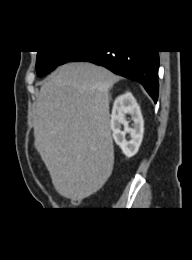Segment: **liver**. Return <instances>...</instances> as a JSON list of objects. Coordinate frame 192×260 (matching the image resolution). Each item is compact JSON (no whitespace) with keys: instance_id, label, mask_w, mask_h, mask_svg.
Masks as SVG:
<instances>
[{"instance_id":"liver-1","label":"liver","mask_w":192,"mask_h":260,"mask_svg":"<svg viewBox=\"0 0 192 260\" xmlns=\"http://www.w3.org/2000/svg\"><path fill=\"white\" fill-rule=\"evenodd\" d=\"M119 79L104 67L75 62L43 81L35 103L34 145L65 198L89 197L112 173L108 92Z\"/></svg>"}]
</instances>
